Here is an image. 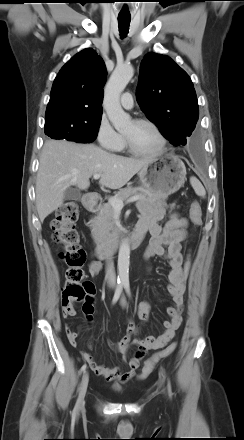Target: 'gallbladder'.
<instances>
[{"mask_svg": "<svg viewBox=\"0 0 244 440\" xmlns=\"http://www.w3.org/2000/svg\"><path fill=\"white\" fill-rule=\"evenodd\" d=\"M82 197L80 191L74 189V188H68L64 192V199L65 200H73L78 201Z\"/></svg>", "mask_w": 244, "mask_h": 440, "instance_id": "1", "label": "gallbladder"}]
</instances>
